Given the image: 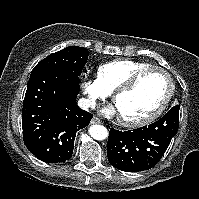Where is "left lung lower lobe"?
I'll return each mask as SVG.
<instances>
[{
  "label": "left lung lower lobe",
  "mask_w": 199,
  "mask_h": 199,
  "mask_svg": "<svg viewBox=\"0 0 199 199\" xmlns=\"http://www.w3.org/2000/svg\"><path fill=\"white\" fill-rule=\"evenodd\" d=\"M179 109L176 105L157 122L133 131L111 129L107 144L109 163L126 172L154 167L178 131Z\"/></svg>",
  "instance_id": "obj_1"
}]
</instances>
